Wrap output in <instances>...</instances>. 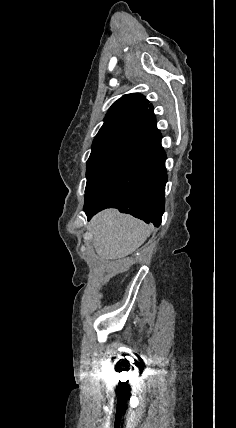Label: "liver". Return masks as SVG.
<instances>
[{"instance_id": "liver-1", "label": "liver", "mask_w": 236, "mask_h": 428, "mask_svg": "<svg viewBox=\"0 0 236 428\" xmlns=\"http://www.w3.org/2000/svg\"><path fill=\"white\" fill-rule=\"evenodd\" d=\"M88 228L93 234L96 254L105 260H120L133 254L152 232L150 224L128 214H120L118 210L100 212Z\"/></svg>"}]
</instances>
